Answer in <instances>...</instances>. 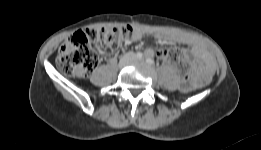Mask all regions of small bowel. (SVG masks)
<instances>
[{
	"label": "small bowel",
	"instance_id": "obj_1",
	"mask_svg": "<svg viewBox=\"0 0 261 150\" xmlns=\"http://www.w3.org/2000/svg\"><path fill=\"white\" fill-rule=\"evenodd\" d=\"M147 33L148 31L146 29L136 28L130 41L137 42ZM155 37L159 42L173 41L190 47L192 54L196 58V61L193 63L194 77L186 84V87H192L199 79L208 77L214 71L215 62L212 55L208 49L197 39L190 36H177L174 38H168L161 34H156ZM145 54L148 57H153L155 55V51L152 49H147ZM160 58L164 62H167L165 58Z\"/></svg>",
	"mask_w": 261,
	"mask_h": 150
}]
</instances>
